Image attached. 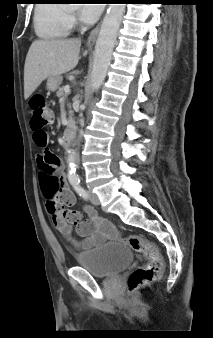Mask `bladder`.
<instances>
[{"label": "bladder", "instance_id": "31cf9c89", "mask_svg": "<svg viewBox=\"0 0 213 338\" xmlns=\"http://www.w3.org/2000/svg\"><path fill=\"white\" fill-rule=\"evenodd\" d=\"M134 260L131 248L120 242H108L75 256L77 265L92 276L110 278L126 269Z\"/></svg>", "mask_w": 213, "mask_h": 338}]
</instances>
